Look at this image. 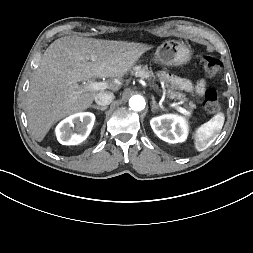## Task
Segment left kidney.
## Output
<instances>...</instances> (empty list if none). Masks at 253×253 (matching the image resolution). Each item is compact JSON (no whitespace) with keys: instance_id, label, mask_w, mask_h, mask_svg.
I'll list each match as a JSON object with an SVG mask.
<instances>
[{"instance_id":"obj_1","label":"left kidney","mask_w":253,"mask_h":253,"mask_svg":"<svg viewBox=\"0 0 253 253\" xmlns=\"http://www.w3.org/2000/svg\"><path fill=\"white\" fill-rule=\"evenodd\" d=\"M154 133L168 143L184 142L188 134L186 120L178 115L165 114L150 120Z\"/></svg>"}]
</instances>
